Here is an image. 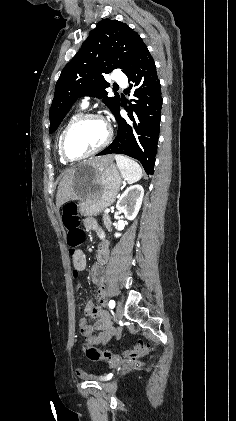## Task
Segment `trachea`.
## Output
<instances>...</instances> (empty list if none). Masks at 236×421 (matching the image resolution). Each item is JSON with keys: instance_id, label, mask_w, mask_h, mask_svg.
<instances>
[{"instance_id": "obj_1", "label": "trachea", "mask_w": 236, "mask_h": 421, "mask_svg": "<svg viewBox=\"0 0 236 421\" xmlns=\"http://www.w3.org/2000/svg\"><path fill=\"white\" fill-rule=\"evenodd\" d=\"M119 87H118V85H115L114 87H113V89L114 90H117Z\"/></svg>"}]
</instances>
